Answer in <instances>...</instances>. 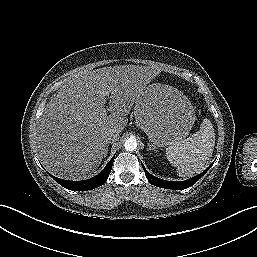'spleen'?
Masks as SVG:
<instances>
[{
	"label": "spleen",
	"instance_id": "obj_1",
	"mask_svg": "<svg viewBox=\"0 0 257 257\" xmlns=\"http://www.w3.org/2000/svg\"><path fill=\"white\" fill-rule=\"evenodd\" d=\"M215 146L212 123L205 118L200 130L166 149L169 162L177 167L180 177H192L208 167Z\"/></svg>",
	"mask_w": 257,
	"mask_h": 257
}]
</instances>
